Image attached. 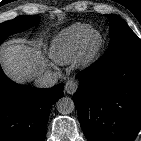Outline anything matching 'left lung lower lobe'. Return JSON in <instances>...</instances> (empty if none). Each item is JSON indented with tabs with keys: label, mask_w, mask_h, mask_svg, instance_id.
<instances>
[{
	"label": "left lung lower lobe",
	"mask_w": 141,
	"mask_h": 141,
	"mask_svg": "<svg viewBox=\"0 0 141 141\" xmlns=\"http://www.w3.org/2000/svg\"><path fill=\"white\" fill-rule=\"evenodd\" d=\"M76 77L73 100L88 141H133L141 128V51L106 54Z\"/></svg>",
	"instance_id": "obj_1"
}]
</instances>
